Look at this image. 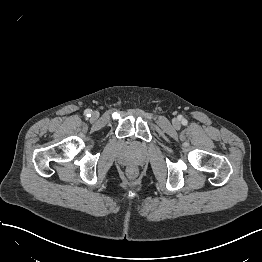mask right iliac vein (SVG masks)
Returning a JSON list of instances; mask_svg holds the SVG:
<instances>
[{
  "instance_id": "63e3f726",
  "label": "right iliac vein",
  "mask_w": 262,
  "mask_h": 262,
  "mask_svg": "<svg viewBox=\"0 0 262 262\" xmlns=\"http://www.w3.org/2000/svg\"><path fill=\"white\" fill-rule=\"evenodd\" d=\"M93 118H94V119H97V118H98V113H97V112H94V113H93Z\"/></svg>"
}]
</instances>
